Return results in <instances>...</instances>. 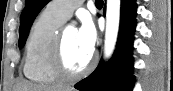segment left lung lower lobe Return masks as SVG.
<instances>
[{"label":"left lung lower lobe","mask_w":173,"mask_h":91,"mask_svg":"<svg viewBox=\"0 0 173 91\" xmlns=\"http://www.w3.org/2000/svg\"><path fill=\"white\" fill-rule=\"evenodd\" d=\"M135 16V0H122L119 38L112 59L108 64H103L101 60L93 73L75 84L76 89L80 91H132Z\"/></svg>","instance_id":"1"}]
</instances>
